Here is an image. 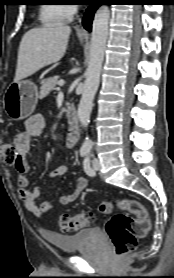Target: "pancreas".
<instances>
[{
	"label": "pancreas",
	"instance_id": "pancreas-1",
	"mask_svg": "<svg viewBox=\"0 0 174 278\" xmlns=\"http://www.w3.org/2000/svg\"><path fill=\"white\" fill-rule=\"evenodd\" d=\"M57 83H58L57 77L48 78V79L42 81L39 97L41 99L46 97L55 88Z\"/></svg>",
	"mask_w": 174,
	"mask_h": 278
}]
</instances>
